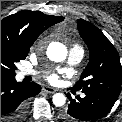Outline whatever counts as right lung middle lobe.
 <instances>
[{
  "label": "right lung middle lobe",
  "instance_id": "obj_1",
  "mask_svg": "<svg viewBox=\"0 0 122 122\" xmlns=\"http://www.w3.org/2000/svg\"><path fill=\"white\" fill-rule=\"evenodd\" d=\"M29 47L1 41V74L15 76L16 63L26 58Z\"/></svg>",
  "mask_w": 122,
  "mask_h": 122
}]
</instances>
